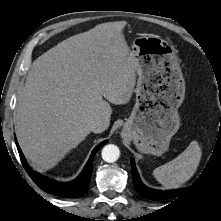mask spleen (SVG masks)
Returning <instances> with one entry per match:
<instances>
[{
    "label": "spleen",
    "instance_id": "spleen-1",
    "mask_svg": "<svg viewBox=\"0 0 221 221\" xmlns=\"http://www.w3.org/2000/svg\"><path fill=\"white\" fill-rule=\"evenodd\" d=\"M201 156V147L197 141H192L175 159L155 168L153 176L165 188H177L194 175L199 166Z\"/></svg>",
    "mask_w": 221,
    "mask_h": 221
}]
</instances>
